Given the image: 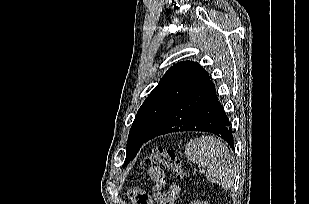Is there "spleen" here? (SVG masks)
<instances>
[{"label":"spleen","instance_id":"3e777b00","mask_svg":"<svg viewBox=\"0 0 309 204\" xmlns=\"http://www.w3.org/2000/svg\"><path fill=\"white\" fill-rule=\"evenodd\" d=\"M186 157L206 170V178L224 190L232 188L236 171L228 148L214 137L191 140L185 147Z\"/></svg>","mask_w":309,"mask_h":204}]
</instances>
